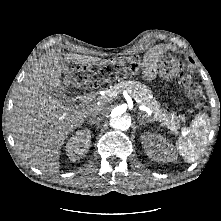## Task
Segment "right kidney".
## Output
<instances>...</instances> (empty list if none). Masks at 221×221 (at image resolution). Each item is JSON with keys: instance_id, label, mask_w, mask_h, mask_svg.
I'll return each instance as SVG.
<instances>
[{"instance_id": "right-kidney-1", "label": "right kidney", "mask_w": 221, "mask_h": 221, "mask_svg": "<svg viewBox=\"0 0 221 221\" xmlns=\"http://www.w3.org/2000/svg\"><path fill=\"white\" fill-rule=\"evenodd\" d=\"M91 132L88 129L78 131L66 143L65 150L70 160L76 161L84 156L90 147Z\"/></svg>"}]
</instances>
